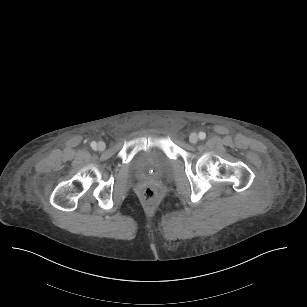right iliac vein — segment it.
<instances>
[{"label": "right iliac vein", "instance_id": "obj_1", "mask_svg": "<svg viewBox=\"0 0 307 307\" xmlns=\"http://www.w3.org/2000/svg\"><path fill=\"white\" fill-rule=\"evenodd\" d=\"M98 150L103 151L106 148V145L104 142L100 141L97 145Z\"/></svg>", "mask_w": 307, "mask_h": 307}]
</instances>
